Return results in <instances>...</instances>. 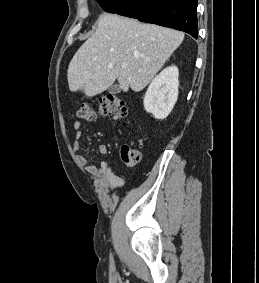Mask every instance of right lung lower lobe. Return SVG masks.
<instances>
[{
	"label": "right lung lower lobe",
	"mask_w": 259,
	"mask_h": 283,
	"mask_svg": "<svg viewBox=\"0 0 259 283\" xmlns=\"http://www.w3.org/2000/svg\"><path fill=\"white\" fill-rule=\"evenodd\" d=\"M109 13L189 33L197 39V0H100Z\"/></svg>",
	"instance_id": "1"
}]
</instances>
